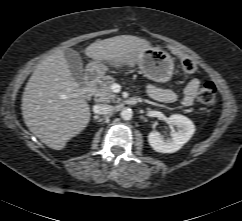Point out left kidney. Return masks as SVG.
<instances>
[{"label": "left kidney", "mask_w": 242, "mask_h": 221, "mask_svg": "<svg viewBox=\"0 0 242 221\" xmlns=\"http://www.w3.org/2000/svg\"><path fill=\"white\" fill-rule=\"evenodd\" d=\"M168 121L172 129L171 138L163 139L158 131H152L148 135V142L156 152L174 153L178 151L195 132L194 123L186 116L174 114L168 118ZM174 126L177 131L173 129Z\"/></svg>", "instance_id": "obj_1"}]
</instances>
